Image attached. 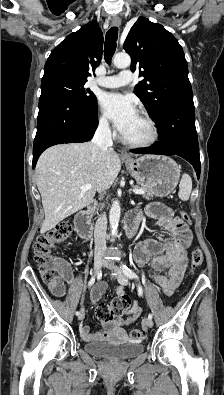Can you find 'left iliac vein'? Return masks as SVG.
Returning a JSON list of instances; mask_svg holds the SVG:
<instances>
[{
	"label": "left iliac vein",
	"mask_w": 224,
	"mask_h": 395,
	"mask_svg": "<svg viewBox=\"0 0 224 395\" xmlns=\"http://www.w3.org/2000/svg\"><path fill=\"white\" fill-rule=\"evenodd\" d=\"M104 266H106L116 274L117 280L121 285L125 286L128 284L127 276L119 269V267L114 262L105 260ZM143 324L146 328H151L153 326V321L151 318L147 317L145 318Z\"/></svg>",
	"instance_id": "obj_1"
}]
</instances>
